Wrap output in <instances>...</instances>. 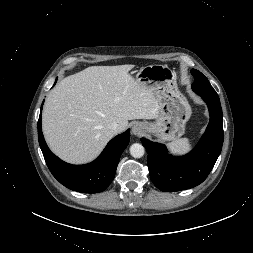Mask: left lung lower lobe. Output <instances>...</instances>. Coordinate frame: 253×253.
<instances>
[{"label":"left lung lower lobe","mask_w":253,"mask_h":253,"mask_svg":"<svg viewBox=\"0 0 253 253\" xmlns=\"http://www.w3.org/2000/svg\"><path fill=\"white\" fill-rule=\"evenodd\" d=\"M200 96L208 105L210 122L198 145L190 153L174 157L168 154L165 145L141 138L148 153L151 180L161 191H181L199 185L206 179L221 152L223 116L219 97Z\"/></svg>","instance_id":"1"}]
</instances>
